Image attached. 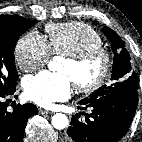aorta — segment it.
I'll return each mask as SVG.
<instances>
[{
  "label": "aorta",
  "instance_id": "762f6f07",
  "mask_svg": "<svg viewBox=\"0 0 142 142\" xmlns=\"http://www.w3.org/2000/svg\"><path fill=\"white\" fill-rule=\"evenodd\" d=\"M58 61H59L58 58H54L53 60H51L48 63L49 69L52 71H56ZM51 123L55 129L62 130L68 126L69 121H68V118L65 114L57 113V114L53 115V117L51 119Z\"/></svg>",
  "mask_w": 142,
  "mask_h": 142
}]
</instances>
